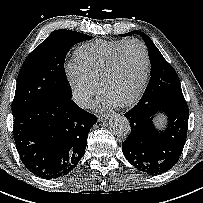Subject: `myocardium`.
<instances>
[{
	"mask_svg": "<svg viewBox=\"0 0 203 203\" xmlns=\"http://www.w3.org/2000/svg\"><path fill=\"white\" fill-rule=\"evenodd\" d=\"M130 44H137L141 47L143 54H144V60H145L144 72H143L142 80L140 82V85H139L137 91L134 93V95L131 98H129L128 100H126L124 102L119 103L121 106H130V105L134 104L135 102H137L140 99V97L142 96V94L146 88L149 74H150V64H151L150 55H149L147 46L139 39L134 38V39L125 40L111 55L110 59L108 60L107 64L105 65V67L101 73L100 79H99V88H100V91L103 92L107 80L109 79V77L111 76L113 71L115 70V67L117 65L118 58H119L121 51L127 45H130Z\"/></svg>",
	"mask_w": 203,
	"mask_h": 203,
	"instance_id": "myocardium-1",
	"label": "myocardium"
}]
</instances>
